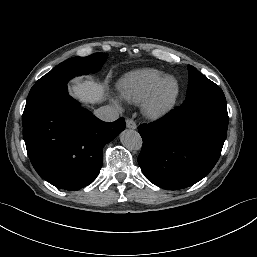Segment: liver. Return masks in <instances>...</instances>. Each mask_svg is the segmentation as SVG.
<instances>
[{
	"instance_id": "6515ba94",
	"label": "liver",
	"mask_w": 257,
	"mask_h": 257,
	"mask_svg": "<svg viewBox=\"0 0 257 257\" xmlns=\"http://www.w3.org/2000/svg\"><path fill=\"white\" fill-rule=\"evenodd\" d=\"M71 94L82 103H100L105 100L104 86L93 80L76 81L71 86Z\"/></svg>"
}]
</instances>
